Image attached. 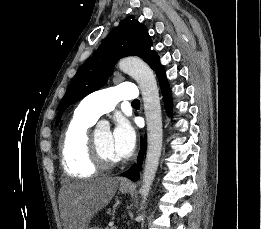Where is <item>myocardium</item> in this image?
Listing matches in <instances>:
<instances>
[{
  "instance_id": "myocardium-1",
  "label": "myocardium",
  "mask_w": 261,
  "mask_h": 229,
  "mask_svg": "<svg viewBox=\"0 0 261 229\" xmlns=\"http://www.w3.org/2000/svg\"><path fill=\"white\" fill-rule=\"evenodd\" d=\"M92 142L94 159L98 164L99 168L110 169L119 164V160H111L104 155L97 138H95Z\"/></svg>"
}]
</instances>
